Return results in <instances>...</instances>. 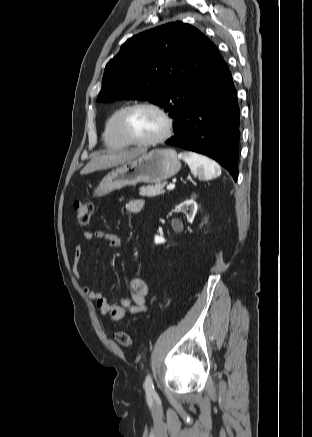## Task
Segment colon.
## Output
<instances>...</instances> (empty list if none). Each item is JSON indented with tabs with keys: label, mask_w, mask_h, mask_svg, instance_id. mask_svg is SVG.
Segmentation results:
<instances>
[{
	"label": "colon",
	"mask_w": 312,
	"mask_h": 437,
	"mask_svg": "<svg viewBox=\"0 0 312 437\" xmlns=\"http://www.w3.org/2000/svg\"><path fill=\"white\" fill-rule=\"evenodd\" d=\"M73 209H74L76 221L79 224L85 225L89 222L94 207L93 204L90 202L77 200L73 203ZM114 337L117 343L123 347H131L133 344L130 335L125 331L115 332Z\"/></svg>",
	"instance_id": "colon-1"
}]
</instances>
